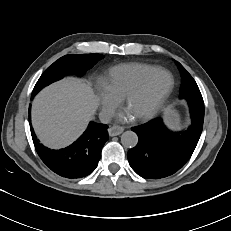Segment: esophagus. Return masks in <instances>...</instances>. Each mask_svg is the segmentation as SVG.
Segmentation results:
<instances>
[{
    "label": "esophagus",
    "instance_id": "esophagus-1",
    "mask_svg": "<svg viewBox=\"0 0 231 231\" xmlns=\"http://www.w3.org/2000/svg\"><path fill=\"white\" fill-rule=\"evenodd\" d=\"M124 131V127L122 126H112L108 129L109 136H118Z\"/></svg>",
    "mask_w": 231,
    "mask_h": 231
}]
</instances>
